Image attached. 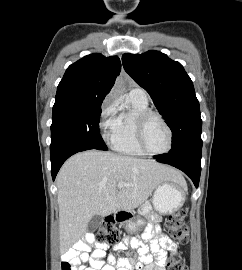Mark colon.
Wrapping results in <instances>:
<instances>
[{
    "label": "colon",
    "mask_w": 242,
    "mask_h": 270,
    "mask_svg": "<svg viewBox=\"0 0 242 270\" xmlns=\"http://www.w3.org/2000/svg\"><path fill=\"white\" fill-rule=\"evenodd\" d=\"M187 210L180 209L174 212L168 220L167 228L169 236L176 242L186 244L188 242V226L186 223ZM94 241L100 244H116L120 238V232L113 218L107 219L101 227L90 234ZM61 270H72L69 263L61 265ZM168 270H189L185 262L177 257L169 260Z\"/></svg>",
    "instance_id": "obj_1"
}]
</instances>
